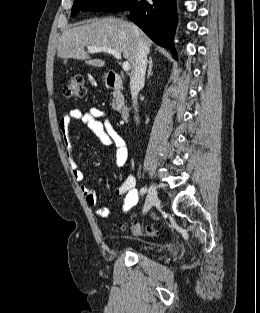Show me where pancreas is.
Here are the masks:
<instances>
[{
    "label": "pancreas",
    "instance_id": "cf45deb5",
    "mask_svg": "<svg viewBox=\"0 0 260 313\" xmlns=\"http://www.w3.org/2000/svg\"><path fill=\"white\" fill-rule=\"evenodd\" d=\"M114 98H116V100L114 99L111 104L113 109L117 110L120 104L123 102V96L121 94H115Z\"/></svg>",
    "mask_w": 260,
    "mask_h": 313
}]
</instances>
